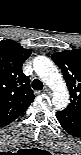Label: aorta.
Listing matches in <instances>:
<instances>
[{
  "instance_id": "762f6f07",
  "label": "aorta",
  "mask_w": 81,
  "mask_h": 155,
  "mask_svg": "<svg viewBox=\"0 0 81 155\" xmlns=\"http://www.w3.org/2000/svg\"><path fill=\"white\" fill-rule=\"evenodd\" d=\"M34 67L40 78L52 89L53 103L62 108L68 104L69 93L66 83L54 64L46 57H37Z\"/></svg>"
}]
</instances>
